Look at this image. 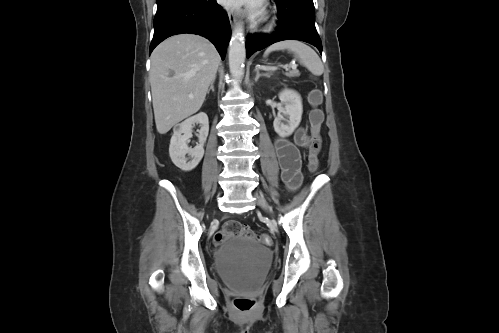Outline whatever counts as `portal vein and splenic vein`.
Returning <instances> with one entry per match:
<instances>
[{
	"mask_svg": "<svg viewBox=\"0 0 499 333\" xmlns=\"http://www.w3.org/2000/svg\"><path fill=\"white\" fill-rule=\"evenodd\" d=\"M289 67H291L292 69H296V65L295 64H291V65H286L285 68L288 69ZM277 68H273L272 70H276ZM192 97V96H191Z\"/></svg>",
	"mask_w": 499,
	"mask_h": 333,
	"instance_id": "18ae733b",
	"label": "portal vein and splenic vein"
}]
</instances>
